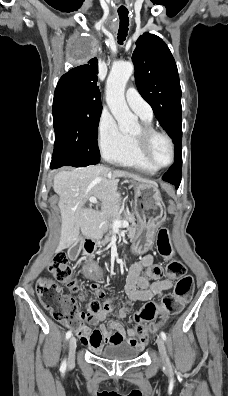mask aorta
<instances>
[{
	"instance_id": "aorta-1",
	"label": "aorta",
	"mask_w": 228,
	"mask_h": 396,
	"mask_svg": "<svg viewBox=\"0 0 228 396\" xmlns=\"http://www.w3.org/2000/svg\"><path fill=\"white\" fill-rule=\"evenodd\" d=\"M134 70L131 62H119L112 66L106 82V102L118 122L121 132L133 131L138 118L131 113L125 100V87Z\"/></svg>"
}]
</instances>
